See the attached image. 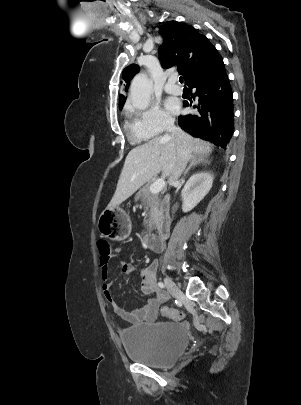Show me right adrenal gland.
Masks as SVG:
<instances>
[{"label": "right adrenal gland", "mask_w": 301, "mask_h": 405, "mask_svg": "<svg viewBox=\"0 0 301 405\" xmlns=\"http://www.w3.org/2000/svg\"><path fill=\"white\" fill-rule=\"evenodd\" d=\"M203 163H208V158L206 155L203 154V155H199V156H193L191 158L188 168L183 173V177L186 176V174L191 170V168L196 167L199 164H203Z\"/></svg>", "instance_id": "right-adrenal-gland-1"}]
</instances>
